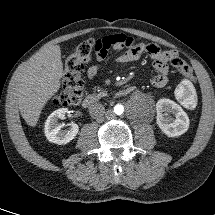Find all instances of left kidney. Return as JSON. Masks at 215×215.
Masks as SVG:
<instances>
[{
    "label": "left kidney",
    "instance_id": "obj_1",
    "mask_svg": "<svg viewBox=\"0 0 215 215\" xmlns=\"http://www.w3.org/2000/svg\"><path fill=\"white\" fill-rule=\"evenodd\" d=\"M156 122L164 134L177 137L189 128V118L182 107L170 99H160L156 103ZM172 113L175 118L170 116Z\"/></svg>",
    "mask_w": 215,
    "mask_h": 215
}]
</instances>
